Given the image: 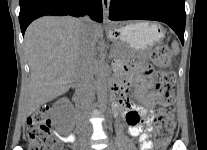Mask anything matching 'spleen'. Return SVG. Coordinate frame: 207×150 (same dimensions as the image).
Instances as JSON below:
<instances>
[{
    "label": "spleen",
    "instance_id": "1",
    "mask_svg": "<svg viewBox=\"0 0 207 150\" xmlns=\"http://www.w3.org/2000/svg\"><path fill=\"white\" fill-rule=\"evenodd\" d=\"M172 52L173 54H178L179 52V46H178V43L176 41H173L172 42Z\"/></svg>",
    "mask_w": 207,
    "mask_h": 150
}]
</instances>
